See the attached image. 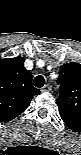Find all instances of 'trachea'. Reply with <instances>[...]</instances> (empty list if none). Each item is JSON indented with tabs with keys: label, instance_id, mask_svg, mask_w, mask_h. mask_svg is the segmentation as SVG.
<instances>
[{
	"label": "trachea",
	"instance_id": "obj_1",
	"mask_svg": "<svg viewBox=\"0 0 81 155\" xmlns=\"http://www.w3.org/2000/svg\"><path fill=\"white\" fill-rule=\"evenodd\" d=\"M45 83V79L43 76L38 75L34 78L33 84L37 87V88H41L44 86Z\"/></svg>",
	"mask_w": 81,
	"mask_h": 155
}]
</instances>
